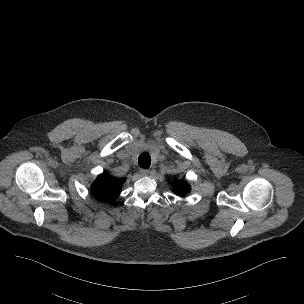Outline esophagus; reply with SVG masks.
<instances>
[{"mask_svg":"<svg viewBox=\"0 0 304 304\" xmlns=\"http://www.w3.org/2000/svg\"><path fill=\"white\" fill-rule=\"evenodd\" d=\"M149 173L150 171L148 169L143 168L140 170L141 176H147Z\"/></svg>","mask_w":304,"mask_h":304,"instance_id":"34e87169","label":"esophagus"}]
</instances>
